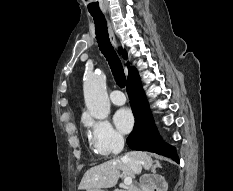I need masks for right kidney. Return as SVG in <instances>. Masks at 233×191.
Wrapping results in <instances>:
<instances>
[{
    "instance_id": "ca27d5eb",
    "label": "right kidney",
    "mask_w": 233,
    "mask_h": 191,
    "mask_svg": "<svg viewBox=\"0 0 233 191\" xmlns=\"http://www.w3.org/2000/svg\"><path fill=\"white\" fill-rule=\"evenodd\" d=\"M168 184L164 177L161 175H155L152 182L146 187L145 191H167Z\"/></svg>"
}]
</instances>
